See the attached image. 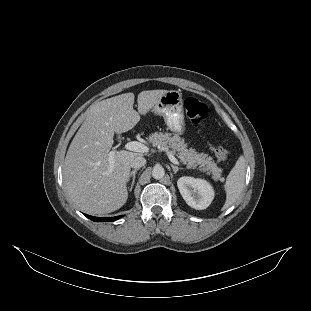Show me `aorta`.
<instances>
[{"instance_id": "762f6f07", "label": "aorta", "mask_w": 311, "mask_h": 311, "mask_svg": "<svg viewBox=\"0 0 311 311\" xmlns=\"http://www.w3.org/2000/svg\"><path fill=\"white\" fill-rule=\"evenodd\" d=\"M165 176V170L162 166L156 165L152 169V177L156 180H161Z\"/></svg>"}]
</instances>
